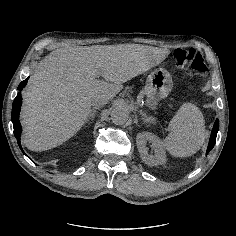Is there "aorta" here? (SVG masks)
I'll use <instances>...</instances> for the list:
<instances>
[{
  "mask_svg": "<svg viewBox=\"0 0 236 236\" xmlns=\"http://www.w3.org/2000/svg\"><path fill=\"white\" fill-rule=\"evenodd\" d=\"M129 112L126 108L116 107L111 112V119L116 125H123L128 121Z\"/></svg>",
  "mask_w": 236,
  "mask_h": 236,
  "instance_id": "obj_1",
  "label": "aorta"
}]
</instances>
